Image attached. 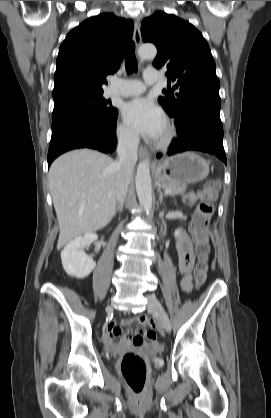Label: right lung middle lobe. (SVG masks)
Listing matches in <instances>:
<instances>
[{
    "label": "right lung middle lobe",
    "instance_id": "obj_1",
    "mask_svg": "<svg viewBox=\"0 0 271 418\" xmlns=\"http://www.w3.org/2000/svg\"><path fill=\"white\" fill-rule=\"evenodd\" d=\"M117 109L103 98V92L73 95L54 101L52 125L61 121L85 116L103 115L114 117Z\"/></svg>",
    "mask_w": 271,
    "mask_h": 418
}]
</instances>
